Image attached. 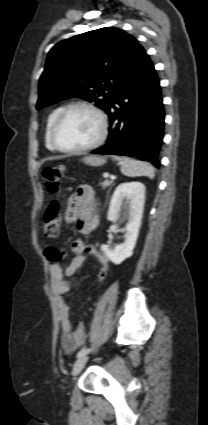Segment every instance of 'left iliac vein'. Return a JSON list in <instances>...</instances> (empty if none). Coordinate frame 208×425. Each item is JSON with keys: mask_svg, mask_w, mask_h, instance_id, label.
<instances>
[{"mask_svg": "<svg viewBox=\"0 0 208 425\" xmlns=\"http://www.w3.org/2000/svg\"><path fill=\"white\" fill-rule=\"evenodd\" d=\"M87 360H88L87 355L80 356L76 359V361L74 362V365H73V374L74 375H77V374L80 373V371L82 370V368L86 364Z\"/></svg>", "mask_w": 208, "mask_h": 425, "instance_id": "obj_1", "label": "left iliac vein"}]
</instances>
